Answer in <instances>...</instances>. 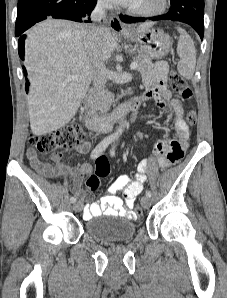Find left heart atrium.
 Returning a JSON list of instances; mask_svg holds the SVG:
<instances>
[{
    "instance_id": "39dd6f15",
    "label": "left heart atrium",
    "mask_w": 227,
    "mask_h": 298,
    "mask_svg": "<svg viewBox=\"0 0 227 298\" xmlns=\"http://www.w3.org/2000/svg\"><path fill=\"white\" fill-rule=\"evenodd\" d=\"M116 4L122 5V6H129L131 7L136 0H110Z\"/></svg>"
}]
</instances>
